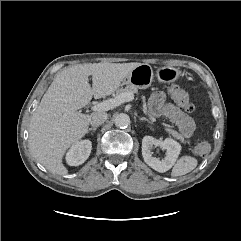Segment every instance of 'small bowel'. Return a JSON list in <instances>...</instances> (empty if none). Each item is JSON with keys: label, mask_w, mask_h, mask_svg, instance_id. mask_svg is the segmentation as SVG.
I'll return each mask as SVG.
<instances>
[{"label": "small bowel", "mask_w": 241, "mask_h": 241, "mask_svg": "<svg viewBox=\"0 0 241 241\" xmlns=\"http://www.w3.org/2000/svg\"><path fill=\"white\" fill-rule=\"evenodd\" d=\"M150 109L154 116H164L175 124L186 138L192 136L196 125L194 120L184 114L174 103L166 99L164 92L158 91L152 94Z\"/></svg>", "instance_id": "c3829d8e"}]
</instances>
